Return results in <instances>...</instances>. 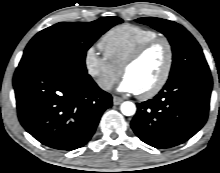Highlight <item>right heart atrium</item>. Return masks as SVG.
<instances>
[{
    "instance_id": "d8ad5b80",
    "label": "right heart atrium",
    "mask_w": 220,
    "mask_h": 173,
    "mask_svg": "<svg viewBox=\"0 0 220 173\" xmlns=\"http://www.w3.org/2000/svg\"><path fill=\"white\" fill-rule=\"evenodd\" d=\"M84 67L97 86L104 91L111 90L121 75V70L105 56H100L94 48L85 52Z\"/></svg>"
}]
</instances>
